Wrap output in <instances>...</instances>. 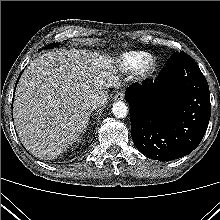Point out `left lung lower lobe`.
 <instances>
[{"label": "left lung lower lobe", "mask_w": 220, "mask_h": 220, "mask_svg": "<svg viewBox=\"0 0 220 220\" xmlns=\"http://www.w3.org/2000/svg\"><path fill=\"white\" fill-rule=\"evenodd\" d=\"M131 136L136 148L155 160H173L191 153L210 120L206 78L193 58L174 53L156 81L128 88Z\"/></svg>", "instance_id": "1"}]
</instances>
